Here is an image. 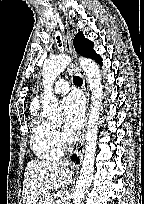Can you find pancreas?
Instances as JSON below:
<instances>
[{"label":"pancreas","mask_w":144,"mask_h":204,"mask_svg":"<svg viewBox=\"0 0 144 204\" xmlns=\"http://www.w3.org/2000/svg\"><path fill=\"white\" fill-rule=\"evenodd\" d=\"M48 197H51V196H50V193H45V194H43L42 197L40 198V201H39L38 204H45L46 199H47ZM52 204H53V203H52Z\"/></svg>","instance_id":"obj_1"}]
</instances>
